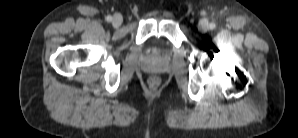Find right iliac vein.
I'll return each instance as SVG.
<instances>
[{"instance_id":"obj_1","label":"right iliac vein","mask_w":298,"mask_h":138,"mask_svg":"<svg viewBox=\"0 0 298 138\" xmlns=\"http://www.w3.org/2000/svg\"><path fill=\"white\" fill-rule=\"evenodd\" d=\"M123 22V18L120 14H116L114 17H113V20H112V24L114 27H119Z\"/></svg>"}]
</instances>
